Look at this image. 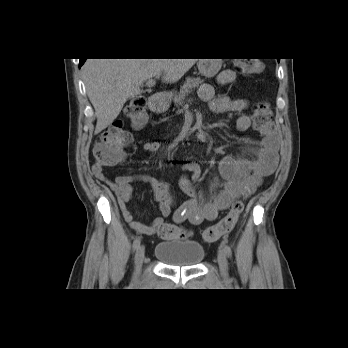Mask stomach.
I'll use <instances>...</instances> for the list:
<instances>
[{"instance_id": "0dacf381", "label": "stomach", "mask_w": 348, "mask_h": 348, "mask_svg": "<svg viewBox=\"0 0 348 348\" xmlns=\"http://www.w3.org/2000/svg\"><path fill=\"white\" fill-rule=\"evenodd\" d=\"M222 66L221 59H199L197 67L199 73L207 78L214 77ZM171 95L166 94L163 98L157 102V107L160 109H166L170 105Z\"/></svg>"}]
</instances>
